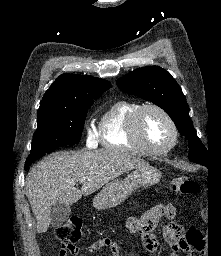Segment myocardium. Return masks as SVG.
<instances>
[{
	"label": "myocardium",
	"mask_w": 221,
	"mask_h": 256,
	"mask_svg": "<svg viewBox=\"0 0 221 256\" xmlns=\"http://www.w3.org/2000/svg\"><path fill=\"white\" fill-rule=\"evenodd\" d=\"M150 109L156 110L159 113H161L166 118V120L170 125L171 131H172V140L164 148L156 149L149 146L142 135V131H141L142 117L144 113ZM129 136H130V139L134 143H136L138 146H140L146 154L158 156V155H165L169 153L176 146L179 139V131H178L175 120L166 109H164L160 105L149 103V104L141 105L133 114L129 123Z\"/></svg>",
	"instance_id": "1"
}]
</instances>
